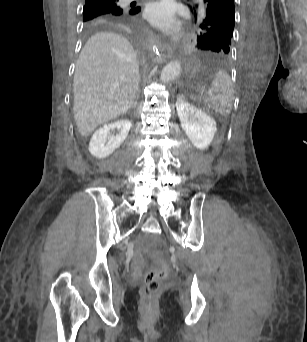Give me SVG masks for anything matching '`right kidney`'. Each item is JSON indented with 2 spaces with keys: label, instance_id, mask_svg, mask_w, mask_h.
<instances>
[{
  "label": "right kidney",
  "instance_id": "ca27d5eb",
  "mask_svg": "<svg viewBox=\"0 0 307 342\" xmlns=\"http://www.w3.org/2000/svg\"><path fill=\"white\" fill-rule=\"evenodd\" d=\"M131 126L132 124L129 120H118V122L106 124V126L96 130L90 140L88 148L90 154L95 156V158H107V156H110L116 148L123 144L128 136V132H130ZM115 128H118L119 134L109 136L111 130H115Z\"/></svg>",
  "mask_w": 307,
  "mask_h": 342
}]
</instances>
